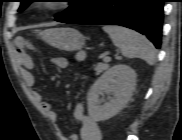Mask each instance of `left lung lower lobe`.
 Listing matches in <instances>:
<instances>
[{"label":"left lung lower lobe","instance_id":"1","mask_svg":"<svg viewBox=\"0 0 182 140\" xmlns=\"http://www.w3.org/2000/svg\"><path fill=\"white\" fill-rule=\"evenodd\" d=\"M166 0H102L75 24L120 25L146 35L156 48L161 46L163 4Z\"/></svg>","mask_w":182,"mask_h":140}]
</instances>
